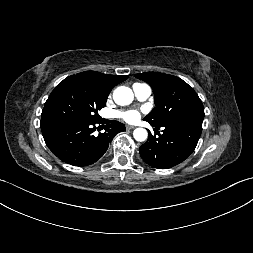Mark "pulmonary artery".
Masks as SVG:
<instances>
[{
	"label": "pulmonary artery",
	"mask_w": 253,
	"mask_h": 253,
	"mask_svg": "<svg viewBox=\"0 0 253 253\" xmlns=\"http://www.w3.org/2000/svg\"><path fill=\"white\" fill-rule=\"evenodd\" d=\"M133 91L139 101H145L151 95V88L147 84L136 83L133 85Z\"/></svg>",
	"instance_id": "obj_1"
}]
</instances>
